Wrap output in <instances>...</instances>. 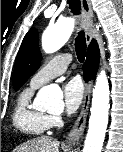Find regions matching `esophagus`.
<instances>
[{
    "label": "esophagus",
    "instance_id": "1",
    "mask_svg": "<svg viewBox=\"0 0 123 152\" xmlns=\"http://www.w3.org/2000/svg\"><path fill=\"white\" fill-rule=\"evenodd\" d=\"M80 1L83 12V20L81 26L85 31L86 43L89 45L92 41V34L90 32V29L92 26L93 12L91 8L90 0H80ZM91 90H92V84L91 81H88L86 82V88H85L84 99L81 107V112L65 140V143L68 146L76 145L80 136L84 131L87 115H88V109L90 105Z\"/></svg>",
    "mask_w": 123,
    "mask_h": 152
}]
</instances>
